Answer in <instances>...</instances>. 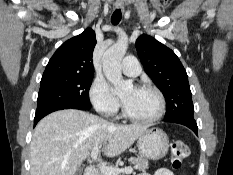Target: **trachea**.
<instances>
[{
    "label": "trachea",
    "mask_w": 233,
    "mask_h": 175,
    "mask_svg": "<svg viewBox=\"0 0 233 175\" xmlns=\"http://www.w3.org/2000/svg\"><path fill=\"white\" fill-rule=\"evenodd\" d=\"M121 21V10L116 9L111 17V22L113 25H117Z\"/></svg>",
    "instance_id": "obj_1"
}]
</instances>
